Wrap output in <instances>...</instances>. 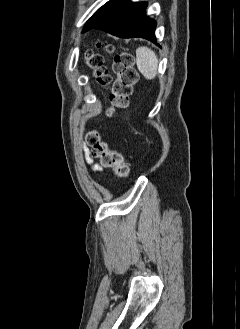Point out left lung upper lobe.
<instances>
[{
    "label": "left lung upper lobe",
    "instance_id": "obj_1",
    "mask_svg": "<svg viewBox=\"0 0 240 329\" xmlns=\"http://www.w3.org/2000/svg\"><path fill=\"white\" fill-rule=\"evenodd\" d=\"M122 0H110L104 6L99 8L93 16L87 21L84 26L83 32L92 29L99 23L105 16H107Z\"/></svg>",
    "mask_w": 240,
    "mask_h": 329
}]
</instances>
